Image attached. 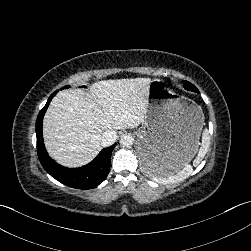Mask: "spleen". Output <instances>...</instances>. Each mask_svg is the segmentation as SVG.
I'll use <instances>...</instances> for the list:
<instances>
[{
    "mask_svg": "<svg viewBox=\"0 0 251 251\" xmlns=\"http://www.w3.org/2000/svg\"><path fill=\"white\" fill-rule=\"evenodd\" d=\"M210 132L208 128H204L201 135V144L198 149L197 156L192 161L194 166H198L201 161L205 158V155L208 151V148L210 146ZM145 173L149 176H153L154 179H157L161 182H180L184 179L188 178L193 173V167L186 163L183 165V167L174 173H166L164 170H162L160 167H146Z\"/></svg>",
    "mask_w": 251,
    "mask_h": 251,
    "instance_id": "3e777b00",
    "label": "spleen"
}]
</instances>
